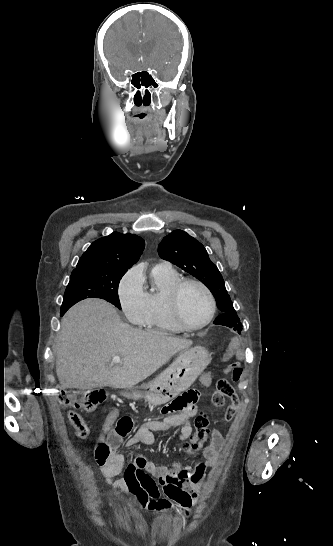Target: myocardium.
I'll return each mask as SVG.
<instances>
[{"label":"myocardium","instance_id":"myocardium-1","mask_svg":"<svg viewBox=\"0 0 333 546\" xmlns=\"http://www.w3.org/2000/svg\"><path fill=\"white\" fill-rule=\"evenodd\" d=\"M188 284H194L200 287L205 292L209 300V314L205 321L198 325L188 324L184 320L180 309V294L182 292V289ZM167 308L172 320L180 329L184 331H198L207 327L213 321L217 311V304L213 292L204 282L195 278H181L172 286L168 294Z\"/></svg>","mask_w":333,"mask_h":546}]
</instances>
